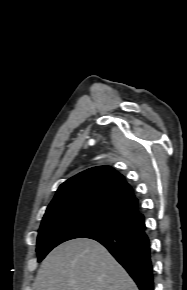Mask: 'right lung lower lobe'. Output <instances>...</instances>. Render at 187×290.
<instances>
[{
    "label": "right lung lower lobe",
    "instance_id": "right-lung-lower-lobe-1",
    "mask_svg": "<svg viewBox=\"0 0 187 290\" xmlns=\"http://www.w3.org/2000/svg\"><path fill=\"white\" fill-rule=\"evenodd\" d=\"M144 219L117 230L90 236L104 245L127 270L140 290H154V274Z\"/></svg>",
    "mask_w": 187,
    "mask_h": 290
}]
</instances>
